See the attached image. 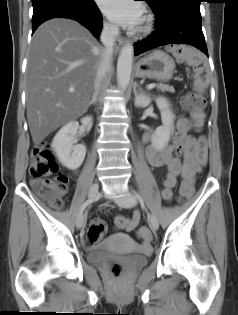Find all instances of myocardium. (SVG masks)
Segmentation results:
<instances>
[{
  "label": "myocardium",
  "mask_w": 238,
  "mask_h": 315,
  "mask_svg": "<svg viewBox=\"0 0 238 315\" xmlns=\"http://www.w3.org/2000/svg\"><path fill=\"white\" fill-rule=\"evenodd\" d=\"M152 29V17L147 15L144 17L142 24L139 28V32L142 34H147Z\"/></svg>",
  "instance_id": "obj_1"
}]
</instances>
